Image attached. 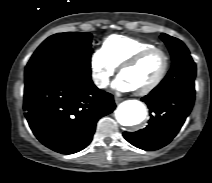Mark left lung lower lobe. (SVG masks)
Segmentation results:
<instances>
[{
    "instance_id": "left-lung-lower-lobe-1",
    "label": "left lung lower lobe",
    "mask_w": 212,
    "mask_h": 183,
    "mask_svg": "<svg viewBox=\"0 0 212 183\" xmlns=\"http://www.w3.org/2000/svg\"><path fill=\"white\" fill-rule=\"evenodd\" d=\"M195 76L196 65L190 55L173 64L162 82L142 98L151 113L148 125L137 132H124V138L147 151L167 145L192 110Z\"/></svg>"
}]
</instances>
